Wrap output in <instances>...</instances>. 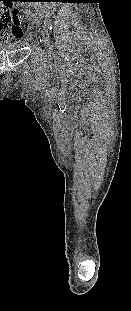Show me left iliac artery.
<instances>
[{"label": "left iliac artery", "instance_id": "obj_1", "mask_svg": "<svg viewBox=\"0 0 131 311\" xmlns=\"http://www.w3.org/2000/svg\"><path fill=\"white\" fill-rule=\"evenodd\" d=\"M44 24H45V26L48 27L49 30L53 29V23H52V21L50 19L49 20H45Z\"/></svg>", "mask_w": 131, "mask_h": 311}]
</instances>
